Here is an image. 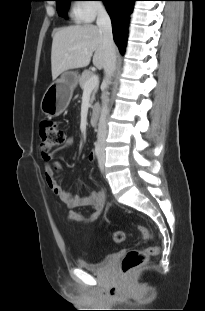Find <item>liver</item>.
<instances>
[{"label": "liver", "instance_id": "obj_1", "mask_svg": "<svg viewBox=\"0 0 205 311\" xmlns=\"http://www.w3.org/2000/svg\"><path fill=\"white\" fill-rule=\"evenodd\" d=\"M92 56L93 65L103 69L106 54L103 34L97 26L84 24L56 30L51 49L52 78L70 69L87 67Z\"/></svg>", "mask_w": 205, "mask_h": 311}]
</instances>
